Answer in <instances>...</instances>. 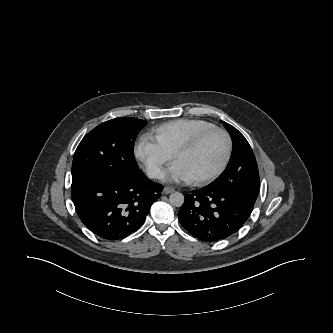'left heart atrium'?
Segmentation results:
<instances>
[{
    "label": "left heart atrium",
    "instance_id": "obj_1",
    "mask_svg": "<svg viewBox=\"0 0 333 333\" xmlns=\"http://www.w3.org/2000/svg\"><path fill=\"white\" fill-rule=\"evenodd\" d=\"M167 178L170 181H189L191 177L188 173L183 169V167L178 163H173L167 172Z\"/></svg>",
    "mask_w": 333,
    "mask_h": 333
}]
</instances>
